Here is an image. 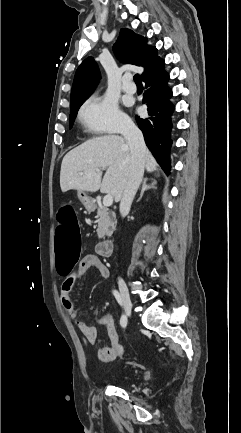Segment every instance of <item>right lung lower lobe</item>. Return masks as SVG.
I'll use <instances>...</instances> for the list:
<instances>
[{
	"label": "right lung lower lobe",
	"instance_id": "98d812e1",
	"mask_svg": "<svg viewBox=\"0 0 241 433\" xmlns=\"http://www.w3.org/2000/svg\"><path fill=\"white\" fill-rule=\"evenodd\" d=\"M168 80L169 75L163 70V66L143 79L146 86L143 103L148 106V117L136 116L146 145L166 174H169L171 169V116L175 110V106L169 102L172 90L167 86Z\"/></svg>",
	"mask_w": 241,
	"mask_h": 433
}]
</instances>
